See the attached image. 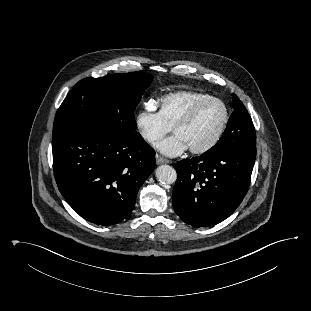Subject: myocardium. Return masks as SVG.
Returning <instances> with one entry per match:
<instances>
[{"instance_id": "obj_1", "label": "myocardium", "mask_w": 311, "mask_h": 311, "mask_svg": "<svg viewBox=\"0 0 311 311\" xmlns=\"http://www.w3.org/2000/svg\"><path fill=\"white\" fill-rule=\"evenodd\" d=\"M208 102H217L223 107V111H224L223 119H222L221 125L219 126L215 135L213 136V138L208 143H206L205 145H203L199 148H190L189 149L190 152L193 154H203V153L208 152L213 147H215L216 144L221 139L223 133L225 132V130L227 128L228 122H229V111H228V107L226 106V104L221 99H219L217 97L209 96L207 98H204V99L196 102L195 104H193L172 127L173 131L175 132L177 129L187 125L193 119V117L198 112V110Z\"/></svg>"}]
</instances>
